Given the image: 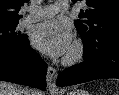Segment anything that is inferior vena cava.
Listing matches in <instances>:
<instances>
[{"mask_svg":"<svg viewBox=\"0 0 119 95\" xmlns=\"http://www.w3.org/2000/svg\"><path fill=\"white\" fill-rule=\"evenodd\" d=\"M29 91L30 90H28V88H23L22 95H29L30 94Z\"/></svg>","mask_w":119,"mask_h":95,"instance_id":"1","label":"inferior vena cava"}]
</instances>
